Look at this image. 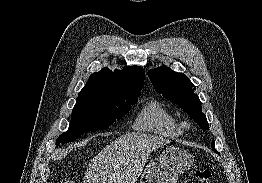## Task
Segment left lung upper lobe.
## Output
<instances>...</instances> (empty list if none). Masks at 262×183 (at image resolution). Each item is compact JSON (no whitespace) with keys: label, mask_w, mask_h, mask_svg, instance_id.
<instances>
[{"label":"left lung upper lobe","mask_w":262,"mask_h":183,"mask_svg":"<svg viewBox=\"0 0 262 183\" xmlns=\"http://www.w3.org/2000/svg\"><path fill=\"white\" fill-rule=\"evenodd\" d=\"M148 76L157 92L178 104L202 129H209L199 97L194 93L195 87L186 75L174 72L167 66H161L148 71ZM211 146L218 153L215 150L214 140Z\"/></svg>","instance_id":"left-lung-upper-lobe-1"}]
</instances>
